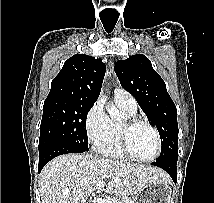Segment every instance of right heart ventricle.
I'll return each instance as SVG.
<instances>
[{"mask_svg":"<svg viewBox=\"0 0 214 203\" xmlns=\"http://www.w3.org/2000/svg\"><path fill=\"white\" fill-rule=\"evenodd\" d=\"M118 106L125 111L129 116H135L136 109H130L128 106H126L124 103L119 101L118 99H115ZM120 122L111 121V128L109 134L98 144H96V150L110 158L114 159H125L126 156L121 150L120 147Z\"/></svg>","mask_w":214,"mask_h":203,"instance_id":"1","label":"right heart ventricle"}]
</instances>
